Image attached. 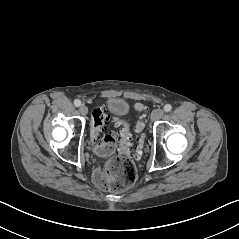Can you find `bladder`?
<instances>
[{"label": "bladder", "mask_w": 239, "mask_h": 239, "mask_svg": "<svg viewBox=\"0 0 239 239\" xmlns=\"http://www.w3.org/2000/svg\"><path fill=\"white\" fill-rule=\"evenodd\" d=\"M107 109L116 115L123 116L129 111L128 103L122 98H110L106 101Z\"/></svg>", "instance_id": "31cf9c89"}]
</instances>
